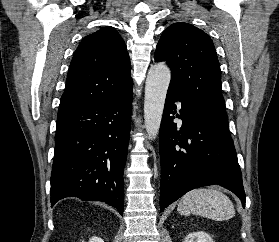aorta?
<instances>
[{"mask_svg": "<svg viewBox=\"0 0 279 242\" xmlns=\"http://www.w3.org/2000/svg\"><path fill=\"white\" fill-rule=\"evenodd\" d=\"M171 72L167 65L158 63L148 71L145 85L144 119L150 139L158 135Z\"/></svg>", "mask_w": 279, "mask_h": 242, "instance_id": "1", "label": "aorta"}]
</instances>
